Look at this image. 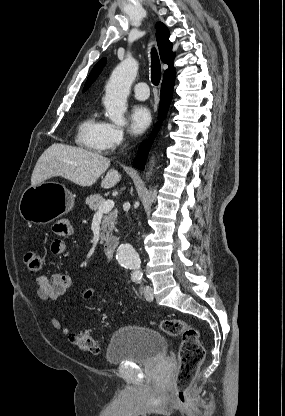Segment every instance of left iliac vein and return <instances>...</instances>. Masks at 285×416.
I'll list each match as a JSON object with an SVG mask.
<instances>
[{"label": "left iliac vein", "mask_w": 285, "mask_h": 416, "mask_svg": "<svg viewBox=\"0 0 285 416\" xmlns=\"http://www.w3.org/2000/svg\"><path fill=\"white\" fill-rule=\"evenodd\" d=\"M144 296L147 300L152 301L153 300V292L152 288L150 286H146L144 289Z\"/></svg>", "instance_id": "obj_1"}]
</instances>
